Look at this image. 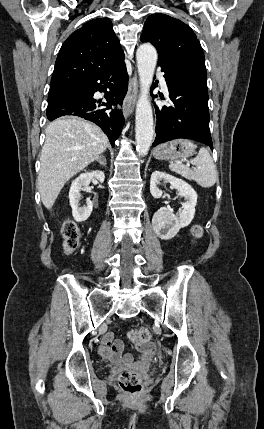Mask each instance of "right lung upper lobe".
<instances>
[{"instance_id": "obj_1", "label": "right lung upper lobe", "mask_w": 264, "mask_h": 429, "mask_svg": "<svg viewBox=\"0 0 264 429\" xmlns=\"http://www.w3.org/2000/svg\"><path fill=\"white\" fill-rule=\"evenodd\" d=\"M112 27L98 18L72 33L59 51L50 88L77 85L124 57Z\"/></svg>"}]
</instances>
